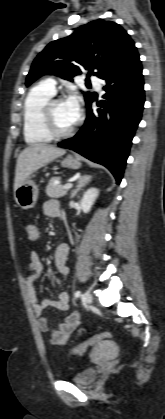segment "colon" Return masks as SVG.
I'll list each match as a JSON object with an SVG mask.
<instances>
[{"instance_id":"1","label":"colon","mask_w":165,"mask_h":419,"mask_svg":"<svg viewBox=\"0 0 165 419\" xmlns=\"http://www.w3.org/2000/svg\"><path fill=\"white\" fill-rule=\"evenodd\" d=\"M31 235H35V230L34 227L31 226L29 229ZM111 337V333L110 332H102L100 334H97L93 337H91L90 339L84 341L83 343L77 345L73 352L75 354H83L86 351H88L89 349L93 348L94 346H96L97 344H99L102 341H105L107 339H109Z\"/></svg>"}]
</instances>
